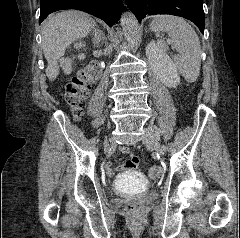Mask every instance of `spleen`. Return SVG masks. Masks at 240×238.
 I'll use <instances>...</instances> for the list:
<instances>
[{
  "mask_svg": "<svg viewBox=\"0 0 240 238\" xmlns=\"http://www.w3.org/2000/svg\"><path fill=\"white\" fill-rule=\"evenodd\" d=\"M150 28L156 35L166 32L170 36L178 52L173 56L176 67L188 82L196 81L200 73L201 46L194 29L184 19L171 15L155 16ZM158 43L164 50L168 49L165 41Z\"/></svg>",
  "mask_w": 240,
  "mask_h": 238,
  "instance_id": "obj_1",
  "label": "spleen"
}]
</instances>
